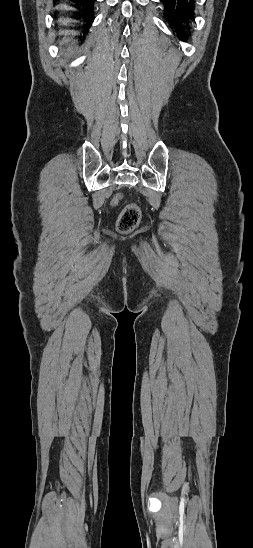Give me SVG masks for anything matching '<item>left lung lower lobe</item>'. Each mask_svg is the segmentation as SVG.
Masks as SVG:
<instances>
[{"instance_id": "0a47b994", "label": "left lung lower lobe", "mask_w": 253, "mask_h": 548, "mask_svg": "<svg viewBox=\"0 0 253 548\" xmlns=\"http://www.w3.org/2000/svg\"><path fill=\"white\" fill-rule=\"evenodd\" d=\"M164 9L165 16L168 23L173 27L179 38L185 40V34L183 33V20L185 18L194 17V10L196 0H161Z\"/></svg>"}]
</instances>
